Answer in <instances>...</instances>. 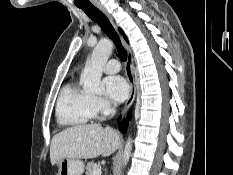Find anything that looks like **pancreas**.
<instances>
[{
	"label": "pancreas",
	"mask_w": 233,
	"mask_h": 175,
	"mask_svg": "<svg viewBox=\"0 0 233 175\" xmlns=\"http://www.w3.org/2000/svg\"><path fill=\"white\" fill-rule=\"evenodd\" d=\"M95 169H98V165L93 161L88 162L86 165V175H93Z\"/></svg>",
	"instance_id": "1"
}]
</instances>
